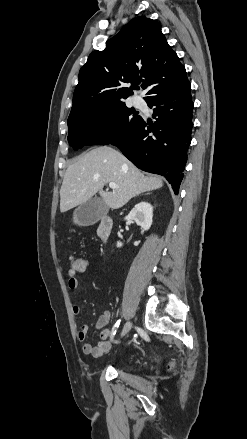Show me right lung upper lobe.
Returning a JSON list of instances; mask_svg holds the SVG:
<instances>
[{"label":"right lung upper lobe","mask_w":247,"mask_h":439,"mask_svg":"<svg viewBox=\"0 0 247 439\" xmlns=\"http://www.w3.org/2000/svg\"><path fill=\"white\" fill-rule=\"evenodd\" d=\"M106 45L102 51H93L80 69L69 117L123 101L141 82L149 87L146 102L189 83L184 66L155 20L132 19Z\"/></svg>","instance_id":"1"}]
</instances>
